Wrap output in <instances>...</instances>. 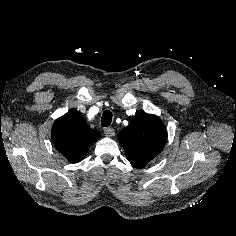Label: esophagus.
<instances>
[{"label": "esophagus", "mask_w": 236, "mask_h": 236, "mask_svg": "<svg viewBox=\"0 0 236 236\" xmlns=\"http://www.w3.org/2000/svg\"><path fill=\"white\" fill-rule=\"evenodd\" d=\"M104 133L108 137H112L115 135V130L113 128H105Z\"/></svg>", "instance_id": "esophagus-1"}]
</instances>
